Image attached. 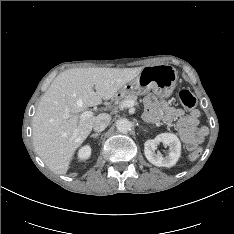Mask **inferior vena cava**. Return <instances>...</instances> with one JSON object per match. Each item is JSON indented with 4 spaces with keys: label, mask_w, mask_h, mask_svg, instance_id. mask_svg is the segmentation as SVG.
I'll use <instances>...</instances> for the list:
<instances>
[{
    "label": "inferior vena cava",
    "mask_w": 234,
    "mask_h": 234,
    "mask_svg": "<svg viewBox=\"0 0 234 234\" xmlns=\"http://www.w3.org/2000/svg\"><path fill=\"white\" fill-rule=\"evenodd\" d=\"M111 117L108 114H99L96 117L93 129L95 132L103 131L110 123Z\"/></svg>",
    "instance_id": "obj_1"
}]
</instances>
